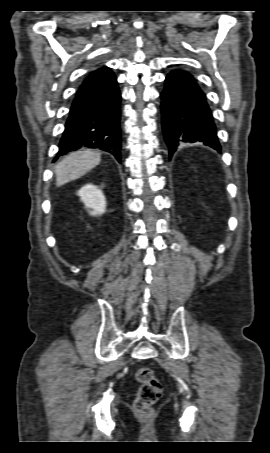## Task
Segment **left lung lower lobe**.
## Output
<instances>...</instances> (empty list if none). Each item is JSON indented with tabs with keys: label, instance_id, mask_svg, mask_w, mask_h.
<instances>
[{
	"label": "left lung lower lobe",
	"instance_id": "0a47b994",
	"mask_svg": "<svg viewBox=\"0 0 270 453\" xmlns=\"http://www.w3.org/2000/svg\"><path fill=\"white\" fill-rule=\"evenodd\" d=\"M162 96V127L169 159L183 143H203L217 151L221 145L212 111L196 79L183 70L166 77Z\"/></svg>",
	"mask_w": 270,
	"mask_h": 453
}]
</instances>
